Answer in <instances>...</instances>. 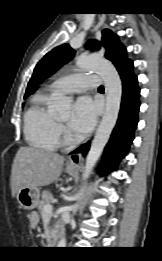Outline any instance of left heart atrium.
<instances>
[{
	"label": "left heart atrium",
	"instance_id": "obj_1",
	"mask_svg": "<svg viewBox=\"0 0 162 261\" xmlns=\"http://www.w3.org/2000/svg\"><path fill=\"white\" fill-rule=\"evenodd\" d=\"M97 114V104L89 96H81L74 105L70 128L79 135L88 134L95 125Z\"/></svg>",
	"mask_w": 162,
	"mask_h": 261
}]
</instances>
